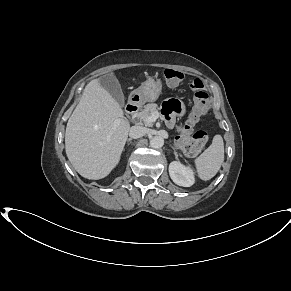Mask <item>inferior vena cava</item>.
I'll return each instance as SVG.
<instances>
[{"label":"inferior vena cava","mask_w":291,"mask_h":291,"mask_svg":"<svg viewBox=\"0 0 291 291\" xmlns=\"http://www.w3.org/2000/svg\"><path fill=\"white\" fill-rule=\"evenodd\" d=\"M147 134V129L143 126H133L130 128L129 136L131 138H140Z\"/></svg>","instance_id":"602c4592"}]
</instances>
